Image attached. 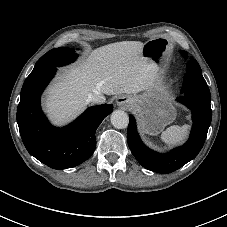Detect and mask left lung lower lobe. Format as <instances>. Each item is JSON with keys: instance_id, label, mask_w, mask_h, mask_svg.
Here are the masks:
<instances>
[{"instance_id": "obj_1", "label": "left lung lower lobe", "mask_w": 227, "mask_h": 227, "mask_svg": "<svg viewBox=\"0 0 227 227\" xmlns=\"http://www.w3.org/2000/svg\"><path fill=\"white\" fill-rule=\"evenodd\" d=\"M177 100L192 111L193 126L189 140L167 154L157 153L143 144L136 130L135 119L130 115L128 145L137 161L148 170L158 173L176 171L194 159L204 145L212 118L210 100L193 96H181Z\"/></svg>"}]
</instances>
